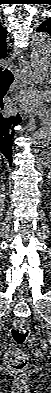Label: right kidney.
<instances>
[{"label":"right kidney","mask_w":51,"mask_h":393,"mask_svg":"<svg viewBox=\"0 0 51 393\" xmlns=\"http://www.w3.org/2000/svg\"><path fill=\"white\" fill-rule=\"evenodd\" d=\"M0 201H1V203H3L4 202V198H3V196L1 195V199H0Z\"/></svg>","instance_id":"right-kidney-1"}]
</instances>
